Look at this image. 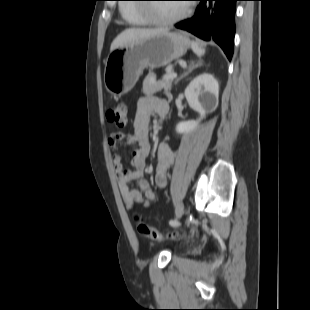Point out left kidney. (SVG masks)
Returning <instances> with one entry per match:
<instances>
[{
    "label": "left kidney",
    "mask_w": 310,
    "mask_h": 310,
    "mask_svg": "<svg viewBox=\"0 0 310 310\" xmlns=\"http://www.w3.org/2000/svg\"><path fill=\"white\" fill-rule=\"evenodd\" d=\"M219 96V83L213 75L203 73L194 78L185 89V97L189 106L199 113L198 120L179 122L176 125L178 134H188L193 132L199 121L205 118L208 112L216 109Z\"/></svg>",
    "instance_id": "obj_1"
}]
</instances>
